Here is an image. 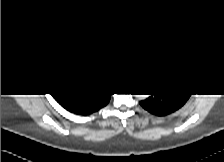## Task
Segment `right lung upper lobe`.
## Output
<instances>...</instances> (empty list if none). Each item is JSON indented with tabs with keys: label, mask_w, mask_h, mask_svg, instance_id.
<instances>
[{
	"label": "right lung upper lobe",
	"mask_w": 224,
	"mask_h": 162,
	"mask_svg": "<svg viewBox=\"0 0 224 162\" xmlns=\"http://www.w3.org/2000/svg\"><path fill=\"white\" fill-rule=\"evenodd\" d=\"M51 95L65 109L75 112H90L99 102L98 99L87 97L84 88L67 83H57L50 88Z\"/></svg>",
	"instance_id": "cb5924a9"
}]
</instances>
